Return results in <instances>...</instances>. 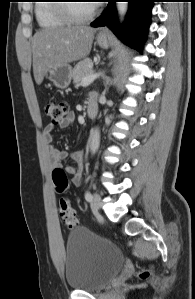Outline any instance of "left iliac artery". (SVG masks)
I'll use <instances>...</instances> for the list:
<instances>
[{
    "label": "left iliac artery",
    "mask_w": 195,
    "mask_h": 299,
    "mask_svg": "<svg viewBox=\"0 0 195 299\" xmlns=\"http://www.w3.org/2000/svg\"><path fill=\"white\" fill-rule=\"evenodd\" d=\"M92 194L90 193V192H86L85 193V199L88 201V202H90L91 200H92Z\"/></svg>",
    "instance_id": "1"
}]
</instances>
